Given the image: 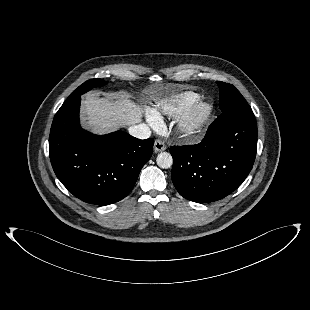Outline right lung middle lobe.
I'll return each mask as SVG.
<instances>
[{
  "mask_svg": "<svg viewBox=\"0 0 310 310\" xmlns=\"http://www.w3.org/2000/svg\"><path fill=\"white\" fill-rule=\"evenodd\" d=\"M107 84L106 81L103 79H90L86 82H84L82 85H80L75 91L72 92V94L67 98V100L72 99L76 96H81L85 92L91 90L94 87L97 86H103Z\"/></svg>",
  "mask_w": 310,
  "mask_h": 310,
  "instance_id": "1",
  "label": "right lung middle lobe"
}]
</instances>
